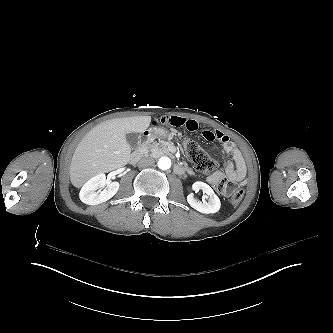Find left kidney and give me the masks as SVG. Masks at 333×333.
<instances>
[{
    "instance_id": "5707ae66",
    "label": "left kidney",
    "mask_w": 333,
    "mask_h": 333,
    "mask_svg": "<svg viewBox=\"0 0 333 333\" xmlns=\"http://www.w3.org/2000/svg\"><path fill=\"white\" fill-rule=\"evenodd\" d=\"M192 189L194 191L202 190L210 197L208 202H200L194 198L193 193H190L187 196V202L190 204L192 208L205 214L216 213L219 211L221 206L220 199L208 184L201 181H197L192 185Z\"/></svg>"
}]
</instances>
